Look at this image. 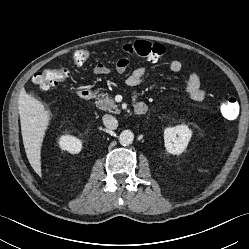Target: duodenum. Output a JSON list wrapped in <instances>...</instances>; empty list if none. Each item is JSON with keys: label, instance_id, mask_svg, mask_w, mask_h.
<instances>
[{"label": "duodenum", "instance_id": "410a0bca", "mask_svg": "<svg viewBox=\"0 0 249 249\" xmlns=\"http://www.w3.org/2000/svg\"><path fill=\"white\" fill-rule=\"evenodd\" d=\"M78 96L84 101H89L93 98V91L89 88H82L78 91ZM134 110L137 115H144L147 112V105L142 101H135Z\"/></svg>", "mask_w": 249, "mask_h": 249}]
</instances>
